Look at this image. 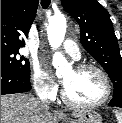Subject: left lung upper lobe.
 Segmentation results:
<instances>
[{"label": "left lung upper lobe", "mask_w": 122, "mask_h": 123, "mask_svg": "<svg viewBox=\"0 0 122 123\" xmlns=\"http://www.w3.org/2000/svg\"><path fill=\"white\" fill-rule=\"evenodd\" d=\"M61 2L79 24L83 47L112 80L113 96L122 95V58L108 11L96 0Z\"/></svg>", "instance_id": "left-lung-upper-lobe-1"}]
</instances>
